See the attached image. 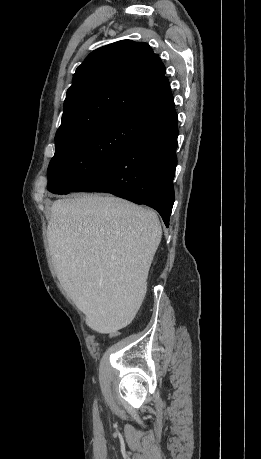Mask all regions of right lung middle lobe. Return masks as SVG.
Returning <instances> with one entry per match:
<instances>
[{
    "instance_id": "obj_1",
    "label": "right lung middle lobe",
    "mask_w": 261,
    "mask_h": 459,
    "mask_svg": "<svg viewBox=\"0 0 261 459\" xmlns=\"http://www.w3.org/2000/svg\"><path fill=\"white\" fill-rule=\"evenodd\" d=\"M149 125L115 121L89 131L55 139L48 167V190L67 194L121 155Z\"/></svg>"
}]
</instances>
